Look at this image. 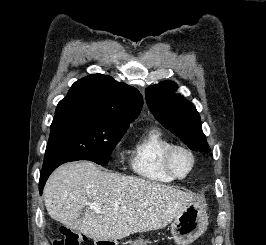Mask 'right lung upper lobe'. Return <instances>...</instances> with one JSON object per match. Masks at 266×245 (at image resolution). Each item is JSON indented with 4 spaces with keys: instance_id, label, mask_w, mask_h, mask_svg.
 I'll use <instances>...</instances> for the list:
<instances>
[{
    "instance_id": "1",
    "label": "right lung upper lobe",
    "mask_w": 266,
    "mask_h": 245,
    "mask_svg": "<svg viewBox=\"0 0 266 245\" xmlns=\"http://www.w3.org/2000/svg\"><path fill=\"white\" fill-rule=\"evenodd\" d=\"M143 99L139 91L103 74H93L75 82L56 108L55 116L71 112H92L108 118L132 122L139 115Z\"/></svg>"
}]
</instances>
